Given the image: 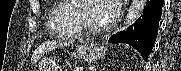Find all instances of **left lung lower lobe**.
<instances>
[{
  "instance_id": "0a47b994",
  "label": "left lung lower lobe",
  "mask_w": 181,
  "mask_h": 71,
  "mask_svg": "<svg viewBox=\"0 0 181 71\" xmlns=\"http://www.w3.org/2000/svg\"><path fill=\"white\" fill-rule=\"evenodd\" d=\"M164 0H147L141 17L125 32L112 35L109 43H126L137 49L145 60L154 46L158 34Z\"/></svg>"
}]
</instances>
